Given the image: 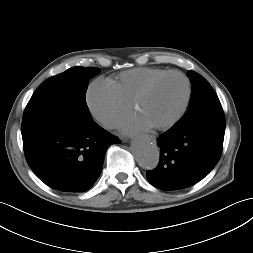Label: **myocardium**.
Segmentation results:
<instances>
[{"label":"myocardium","instance_id":"1","mask_svg":"<svg viewBox=\"0 0 253 253\" xmlns=\"http://www.w3.org/2000/svg\"><path fill=\"white\" fill-rule=\"evenodd\" d=\"M171 75H178V76L182 77L183 80L185 81V84H186L185 97H184V100H183V103H182L180 109L178 110V112L176 113V115L173 118H171L168 122H166L164 124L153 126V128H155L157 130L170 129L171 127L176 125L181 120V118L184 116V114L186 113L188 105H189L190 100H191V95H192V84H191V81H190L189 77L185 73H183L179 70H168V71L156 76L152 80H150L134 96V98L132 99V101L130 103L131 109L135 110V107L139 103V101H141L154 88V86L157 83H159L161 80H163L164 78H166L168 76H171Z\"/></svg>","mask_w":253,"mask_h":253}]
</instances>
